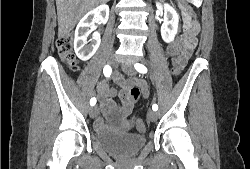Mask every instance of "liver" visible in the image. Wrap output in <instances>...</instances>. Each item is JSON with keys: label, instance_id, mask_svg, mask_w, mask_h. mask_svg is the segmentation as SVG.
<instances>
[{"label": "liver", "instance_id": "1", "mask_svg": "<svg viewBox=\"0 0 250 169\" xmlns=\"http://www.w3.org/2000/svg\"><path fill=\"white\" fill-rule=\"evenodd\" d=\"M108 0H56L58 36H67L84 12Z\"/></svg>", "mask_w": 250, "mask_h": 169}]
</instances>
